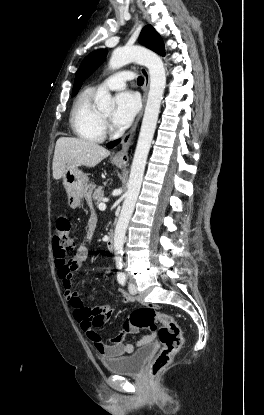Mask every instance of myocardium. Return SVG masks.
I'll use <instances>...</instances> for the list:
<instances>
[{"label": "myocardium", "instance_id": "1", "mask_svg": "<svg viewBox=\"0 0 264 415\" xmlns=\"http://www.w3.org/2000/svg\"><path fill=\"white\" fill-rule=\"evenodd\" d=\"M102 122H103V130L105 131L107 128H109V118L103 115V113H100Z\"/></svg>", "mask_w": 264, "mask_h": 415}]
</instances>
